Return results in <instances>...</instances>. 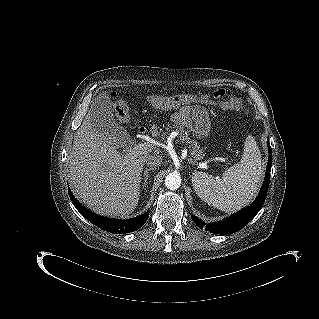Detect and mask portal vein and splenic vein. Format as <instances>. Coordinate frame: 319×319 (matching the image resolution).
I'll list each match as a JSON object with an SVG mask.
<instances>
[{
  "instance_id": "obj_1",
  "label": "portal vein and splenic vein",
  "mask_w": 319,
  "mask_h": 319,
  "mask_svg": "<svg viewBox=\"0 0 319 319\" xmlns=\"http://www.w3.org/2000/svg\"><path fill=\"white\" fill-rule=\"evenodd\" d=\"M152 146L150 143L145 142V143H141L136 145L132 150H131V155L137 156L140 154H143L145 152H149L151 150ZM202 168H205V163H202Z\"/></svg>"
}]
</instances>
